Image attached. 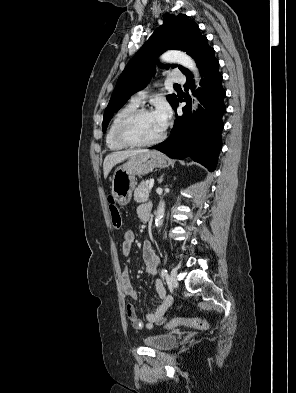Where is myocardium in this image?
Returning a JSON list of instances; mask_svg holds the SVG:
<instances>
[{
  "mask_svg": "<svg viewBox=\"0 0 296 393\" xmlns=\"http://www.w3.org/2000/svg\"><path fill=\"white\" fill-rule=\"evenodd\" d=\"M152 112L151 109L141 107V108H136L130 113H128L119 123L118 128H117V138L120 143L127 147H146V146H151L154 145L158 142H160L164 136H165V131L163 130L160 135L157 137L148 140V141H136L130 138L129 136V129L131 125L134 123V121L139 118L141 115L150 113Z\"/></svg>",
  "mask_w": 296,
  "mask_h": 393,
  "instance_id": "1",
  "label": "myocardium"
}]
</instances>
